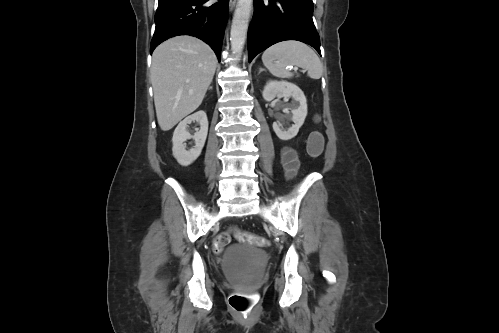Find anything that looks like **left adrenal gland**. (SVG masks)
Segmentation results:
<instances>
[{
  "mask_svg": "<svg viewBox=\"0 0 499 333\" xmlns=\"http://www.w3.org/2000/svg\"><path fill=\"white\" fill-rule=\"evenodd\" d=\"M262 71H264V69L260 68V69H259V73H261Z\"/></svg>",
  "mask_w": 499,
  "mask_h": 333,
  "instance_id": "obj_1",
  "label": "left adrenal gland"
}]
</instances>
